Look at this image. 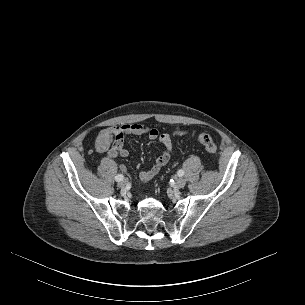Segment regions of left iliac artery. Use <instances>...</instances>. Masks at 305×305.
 <instances>
[{
  "instance_id": "1",
  "label": "left iliac artery",
  "mask_w": 305,
  "mask_h": 305,
  "mask_svg": "<svg viewBox=\"0 0 305 305\" xmlns=\"http://www.w3.org/2000/svg\"><path fill=\"white\" fill-rule=\"evenodd\" d=\"M178 176H183L184 175V171L182 169L178 170L177 172Z\"/></svg>"
}]
</instances>
